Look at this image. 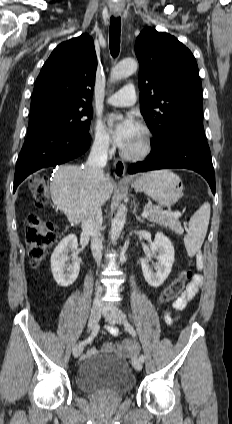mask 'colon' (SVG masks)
<instances>
[{
  "instance_id": "1",
  "label": "colon",
  "mask_w": 232,
  "mask_h": 424,
  "mask_svg": "<svg viewBox=\"0 0 232 424\" xmlns=\"http://www.w3.org/2000/svg\"><path fill=\"white\" fill-rule=\"evenodd\" d=\"M29 188L37 205L39 207L43 206L48 200V192L44 178L42 176L34 177L29 183ZM54 242L55 234L52 224L45 221L38 214H30L26 229V244L29 259L33 266L39 265ZM192 267V262L188 261L177 277L162 290L158 298V303L160 305L170 303L182 292L192 275ZM133 347L134 342L129 341V338H123L119 343V348L128 349Z\"/></svg>"
}]
</instances>
